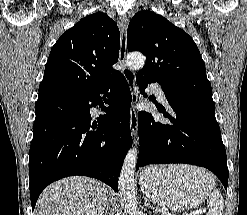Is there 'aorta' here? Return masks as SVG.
Returning <instances> with one entry per match:
<instances>
[{
	"label": "aorta",
	"mask_w": 247,
	"mask_h": 215,
	"mask_svg": "<svg viewBox=\"0 0 247 215\" xmlns=\"http://www.w3.org/2000/svg\"><path fill=\"white\" fill-rule=\"evenodd\" d=\"M145 64V56L141 53H130L127 56V65L131 69H141ZM138 149L136 146L127 152L118 180L120 203L124 215H140L135 194V168Z\"/></svg>",
	"instance_id": "1"
}]
</instances>
